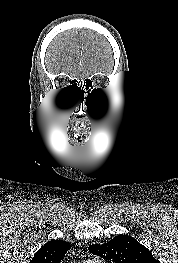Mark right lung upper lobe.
I'll list each match as a JSON object with an SVG mask.
<instances>
[{"mask_svg": "<svg viewBox=\"0 0 178 263\" xmlns=\"http://www.w3.org/2000/svg\"><path fill=\"white\" fill-rule=\"evenodd\" d=\"M70 248V243L62 240H51L34 254L29 263H60Z\"/></svg>", "mask_w": 178, "mask_h": 263, "instance_id": "obj_1", "label": "right lung upper lobe"}]
</instances>
